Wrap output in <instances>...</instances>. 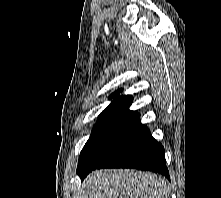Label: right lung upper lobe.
<instances>
[{"instance_id":"right-lung-upper-lobe-1","label":"right lung upper lobe","mask_w":221,"mask_h":198,"mask_svg":"<svg viewBox=\"0 0 221 198\" xmlns=\"http://www.w3.org/2000/svg\"><path fill=\"white\" fill-rule=\"evenodd\" d=\"M119 90L110 95V99L114 98L111 104L100 114L99 122L122 121V122H139V114L137 111H130L129 106L132 103L131 95H123L118 97Z\"/></svg>"}]
</instances>
